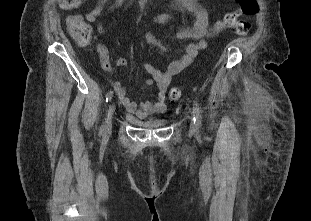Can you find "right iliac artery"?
Listing matches in <instances>:
<instances>
[{
    "label": "right iliac artery",
    "instance_id": "right-iliac-artery-1",
    "mask_svg": "<svg viewBox=\"0 0 311 221\" xmlns=\"http://www.w3.org/2000/svg\"><path fill=\"white\" fill-rule=\"evenodd\" d=\"M113 97V91H109L107 94H106V102L108 103ZM105 127L104 125L101 126L100 130L101 131H104Z\"/></svg>",
    "mask_w": 311,
    "mask_h": 221
}]
</instances>
